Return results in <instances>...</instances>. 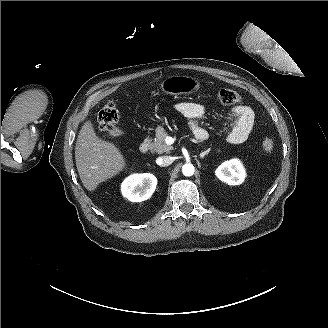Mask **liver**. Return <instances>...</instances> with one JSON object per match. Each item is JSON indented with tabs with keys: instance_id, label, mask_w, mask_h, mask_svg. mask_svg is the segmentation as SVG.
Segmentation results:
<instances>
[{
	"instance_id": "obj_1",
	"label": "liver",
	"mask_w": 328,
	"mask_h": 328,
	"mask_svg": "<svg viewBox=\"0 0 328 328\" xmlns=\"http://www.w3.org/2000/svg\"><path fill=\"white\" fill-rule=\"evenodd\" d=\"M75 160L80 179L88 191L95 190L98 184L125 167L121 152L113 143L96 136L91 121H86L78 134Z\"/></svg>"
}]
</instances>
